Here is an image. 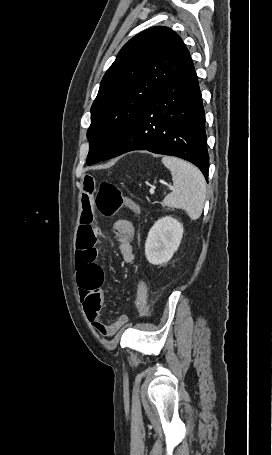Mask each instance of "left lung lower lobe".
Listing matches in <instances>:
<instances>
[{"instance_id":"0a47b994","label":"left lung lower lobe","mask_w":272,"mask_h":455,"mask_svg":"<svg viewBox=\"0 0 272 455\" xmlns=\"http://www.w3.org/2000/svg\"><path fill=\"white\" fill-rule=\"evenodd\" d=\"M133 150L183 158L208 179L205 113L193 62L147 104L106 159Z\"/></svg>"}]
</instances>
